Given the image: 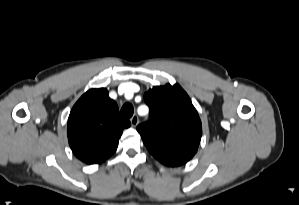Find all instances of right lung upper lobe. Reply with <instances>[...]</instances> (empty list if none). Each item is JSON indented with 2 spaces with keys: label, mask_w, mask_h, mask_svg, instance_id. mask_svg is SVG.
<instances>
[{
  "label": "right lung upper lobe",
  "mask_w": 299,
  "mask_h": 205,
  "mask_svg": "<svg viewBox=\"0 0 299 205\" xmlns=\"http://www.w3.org/2000/svg\"><path fill=\"white\" fill-rule=\"evenodd\" d=\"M130 122L120 117L118 106L105 88L88 90L73 106L67 124L69 145L86 164H100L117 149Z\"/></svg>",
  "instance_id": "cb5924a9"
}]
</instances>
